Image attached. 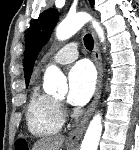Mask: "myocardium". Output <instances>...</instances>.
I'll use <instances>...</instances> for the list:
<instances>
[{"label":"myocardium","mask_w":139,"mask_h":150,"mask_svg":"<svg viewBox=\"0 0 139 150\" xmlns=\"http://www.w3.org/2000/svg\"><path fill=\"white\" fill-rule=\"evenodd\" d=\"M56 101L58 102V104L61 106L62 103H63V100L62 99H56Z\"/></svg>","instance_id":"1"}]
</instances>
